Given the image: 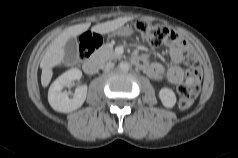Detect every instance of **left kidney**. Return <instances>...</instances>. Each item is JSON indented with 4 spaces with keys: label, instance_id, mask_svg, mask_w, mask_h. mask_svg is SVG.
<instances>
[{
    "label": "left kidney",
    "instance_id": "left-kidney-1",
    "mask_svg": "<svg viewBox=\"0 0 238 158\" xmlns=\"http://www.w3.org/2000/svg\"><path fill=\"white\" fill-rule=\"evenodd\" d=\"M159 98L166 108H173L176 103V95L173 90L164 87L159 91Z\"/></svg>",
    "mask_w": 238,
    "mask_h": 158
}]
</instances>
